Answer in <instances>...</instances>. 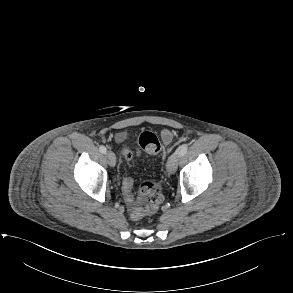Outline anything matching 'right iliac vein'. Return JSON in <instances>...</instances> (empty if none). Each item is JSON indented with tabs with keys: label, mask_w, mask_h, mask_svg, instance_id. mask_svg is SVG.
<instances>
[{
	"label": "right iliac vein",
	"mask_w": 293,
	"mask_h": 293,
	"mask_svg": "<svg viewBox=\"0 0 293 293\" xmlns=\"http://www.w3.org/2000/svg\"><path fill=\"white\" fill-rule=\"evenodd\" d=\"M106 158L108 160V164L111 167H114L115 164H116V156H115V154L112 151H107L106 152Z\"/></svg>",
	"instance_id": "1"
}]
</instances>
